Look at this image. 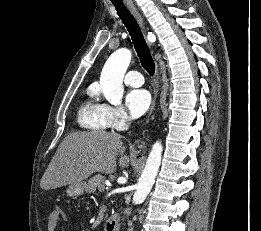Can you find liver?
<instances>
[{
    "label": "liver",
    "mask_w": 261,
    "mask_h": 231,
    "mask_svg": "<svg viewBox=\"0 0 261 231\" xmlns=\"http://www.w3.org/2000/svg\"><path fill=\"white\" fill-rule=\"evenodd\" d=\"M122 136L114 132L92 131L69 134L59 145L48 165L40 187L44 190L83 182L95 172L113 173L122 148ZM130 158L122 155L121 168H127Z\"/></svg>",
    "instance_id": "liver-1"
}]
</instances>
